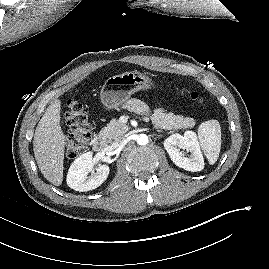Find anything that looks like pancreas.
<instances>
[{
  "mask_svg": "<svg viewBox=\"0 0 269 269\" xmlns=\"http://www.w3.org/2000/svg\"><path fill=\"white\" fill-rule=\"evenodd\" d=\"M151 120L154 127L161 130L187 129L195 125L193 118L166 113L162 109H155ZM128 130L129 127L126 124L121 123L117 119H112L107 127L100 131L99 137L107 142H111L122 137Z\"/></svg>",
  "mask_w": 269,
  "mask_h": 269,
  "instance_id": "cf45deb5",
  "label": "pancreas"
}]
</instances>
